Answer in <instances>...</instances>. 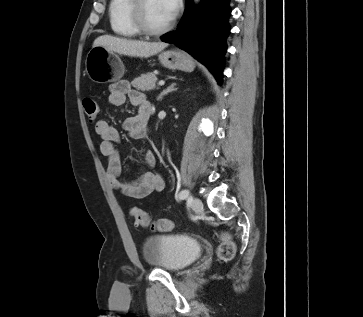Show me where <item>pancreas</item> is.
Returning <instances> with one entry per match:
<instances>
[{
    "label": "pancreas",
    "mask_w": 363,
    "mask_h": 317,
    "mask_svg": "<svg viewBox=\"0 0 363 317\" xmlns=\"http://www.w3.org/2000/svg\"><path fill=\"white\" fill-rule=\"evenodd\" d=\"M157 77L153 73L142 74L135 78L131 84L134 88L141 91H149L156 88Z\"/></svg>",
    "instance_id": "cf45deb5"
}]
</instances>
